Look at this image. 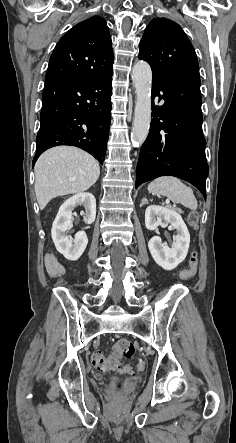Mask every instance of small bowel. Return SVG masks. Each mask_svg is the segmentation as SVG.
Wrapping results in <instances>:
<instances>
[{
	"instance_id": "c3829d8e",
	"label": "small bowel",
	"mask_w": 236,
	"mask_h": 443,
	"mask_svg": "<svg viewBox=\"0 0 236 443\" xmlns=\"http://www.w3.org/2000/svg\"><path fill=\"white\" fill-rule=\"evenodd\" d=\"M45 266L48 274L54 278L61 277L66 272L65 266L53 253H48L46 255Z\"/></svg>"
}]
</instances>
